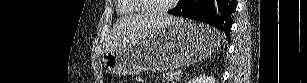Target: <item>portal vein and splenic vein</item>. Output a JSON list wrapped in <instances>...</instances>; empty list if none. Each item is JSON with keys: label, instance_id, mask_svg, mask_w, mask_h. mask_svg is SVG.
Wrapping results in <instances>:
<instances>
[{"label": "portal vein and splenic vein", "instance_id": "obj_1", "mask_svg": "<svg viewBox=\"0 0 307 83\" xmlns=\"http://www.w3.org/2000/svg\"><path fill=\"white\" fill-rule=\"evenodd\" d=\"M175 77H176V78H180V74H179V73L176 74Z\"/></svg>", "mask_w": 307, "mask_h": 83}]
</instances>
